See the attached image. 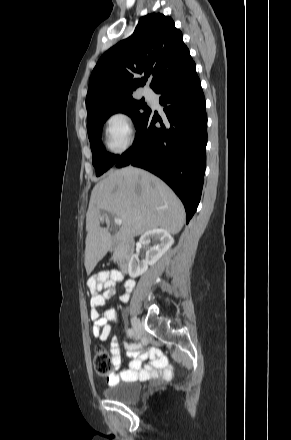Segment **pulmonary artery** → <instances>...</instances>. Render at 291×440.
Here are the masks:
<instances>
[{"instance_id":"e3ab8cb5","label":"pulmonary artery","mask_w":291,"mask_h":440,"mask_svg":"<svg viewBox=\"0 0 291 440\" xmlns=\"http://www.w3.org/2000/svg\"><path fill=\"white\" fill-rule=\"evenodd\" d=\"M144 95H145L148 99H150V100H154V97H153L152 93H151L149 90H145V91H144Z\"/></svg>"}]
</instances>
